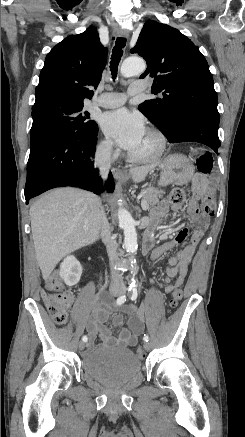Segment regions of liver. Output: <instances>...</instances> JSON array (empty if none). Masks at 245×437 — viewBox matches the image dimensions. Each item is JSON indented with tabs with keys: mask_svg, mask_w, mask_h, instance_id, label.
<instances>
[{
	"mask_svg": "<svg viewBox=\"0 0 245 437\" xmlns=\"http://www.w3.org/2000/svg\"><path fill=\"white\" fill-rule=\"evenodd\" d=\"M155 166L131 170L134 182L145 180ZM34 248L42 277L47 280L67 254L93 243L101 230L102 204L90 193L60 188L43 195L30 207Z\"/></svg>",
	"mask_w": 245,
	"mask_h": 437,
	"instance_id": "1",
	"label": "liver"
}]
</instances>
